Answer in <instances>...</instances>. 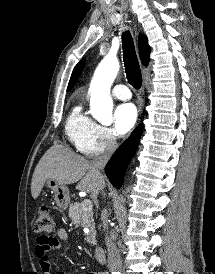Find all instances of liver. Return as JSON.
<instances>
[{
  "label": "liver",
  "instance_id": "6515ba94",
  "mask_svg": "<svg viewBox=\"0 0 215 274\" xmlns=\"http://www.w3.org/2000/svg\"><path fill=\"white\" fill-rule=\"evenodd\" d=\"M48 179L64 185L78 182L76 189L90 193L93 198L105 187L104 177L90 161L59 144L49 148L35 168L31 182L34 199L40 195Z\"/></svg>",
  "mask_w": 215,
  "mask_h": 274
}]
</instances>
